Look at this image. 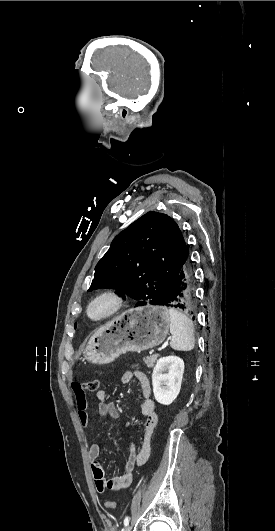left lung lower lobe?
<instances>
[{
    "mask_svg": "<svg viewBox=\"0 0 275 531\" xmlns=\"http://www.w3.org/2000/svg\"><path fill=\"white\" fill-rule=\"evenodd\" d=\"M161 305L183 310L194 318L197 308V296L194 273L189 257L182 266L171 293Z\"/></svg>",
    "mask_w": 275,
    "mask_h": 531,
    "instance_id": "left-lung-lower-lobe-1",
    "label": "left lung lower lobe"
}]
</instances>
